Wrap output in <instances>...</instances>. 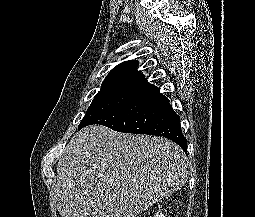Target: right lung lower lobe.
<instances>
[{
	"label": "right lung lower lobe",
	"instance_id": "1",
	"mask_svg": "<svg viewBox=\"0 0 255 217\" xmlns=\"http://www.w3.org/2000/svg\"><path fill=\"white\" fill-rule=\"evenodd\" d=\"M92 124H101L118 132L162 136L187 152L180 117L170 106L168 98L154 85L144 88L137 97L98 116L87 125Z\"/></svg>",
	"mask_w": 255,
	"mask_h": 217
}]
</instances>
